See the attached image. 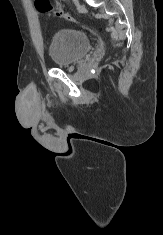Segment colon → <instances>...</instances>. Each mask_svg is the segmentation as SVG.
<instances>
[{
    "label": "colon",
    "instance_id": "obj_1",
    "mask_svg": "<svg viewBox=\"0 0 163 235\" xmlns=\"http://www.w3.org/2000/svg\"><path fill=\"white\" fill-rule=\"evenodd\" d=\"M39 10L42 12H51L53 11L59 17H62L67 20H74V17L71 16L65 9L59 5H54L50 0H36Z\"/></svg>",
    "mask_w": 163,
    "mask_h": 235
}]
</instances>
